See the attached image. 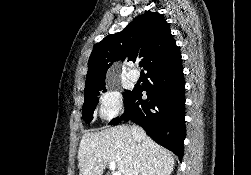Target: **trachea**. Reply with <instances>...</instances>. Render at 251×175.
<instances>
[{
    "label": "trachea",
    "instance_id": "3493384b",
    "mask_svg": "<svg viewBox=\"0 0 251 175\" xmlns=\"http://www.w3.org/2000/svg\"><path fill=\"white\" fill-rule=\"evenodd\" d=\"M139 66L142 67V66H143V63H139Z\"/></svg>",
    "mask_w": 251,
    "mask_h": 175
}]
</instances>
